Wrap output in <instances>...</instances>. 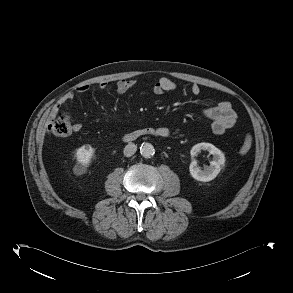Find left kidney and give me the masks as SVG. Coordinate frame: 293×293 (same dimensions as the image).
<instances>
[{
    "label": "left kidney",
    "mask_w": 293,
    "mask_h": 293,
    "mask_svg": "<svg viewBox=\"0 0 293 293\" xmlns=\"http://www.w3.org/2000/svg\"><path fill=\"white\" fill-rule=\"evenodd\" d=\"M208 151L213 155V160L210 162V166L206 167L204 170H201L197 166V162L193 160L189 166V171L191 176L201 182H209L216 178L220 173L221 169L224 167L225 156L224 153L210 143H198L194 145L191 149V156H196L200 151Z\"/></svg>",
    "instance_id": "left-kidney-1"
}]
</instances>
